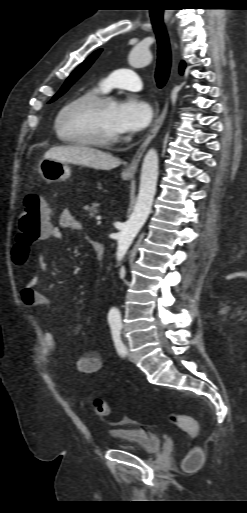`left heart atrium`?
<instances>
[{
    "mask_svg": "<svg viewBox=\"0 0 247 513\" xmlns=\"http://www.w3.org/2000/svg\"><path fill=\"white\" fill-rule=\"evenodd\" d=\"M152 116L150 104L132 95L117 104L114 124L119 134H133L145 129L151 122Z\"/></svg>",
    "mask_w": 247,
    "mask_h": 513,
    "instance_id": "39dd6f15",
    "label": "left heart atrium"
}]
</instances>
